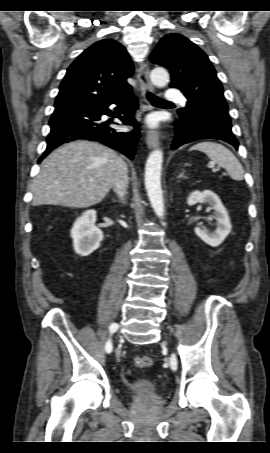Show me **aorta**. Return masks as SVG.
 <instances>
[{
  "instance_id": "aorta-1",
  "label": "aorta",
  "mask_w": 270,
  "mask_h": 453,
  "mask_svg": "<svg viewBox=\"0 0 270 453\" xmlns=\"http://www.w3.org/2000/svg\"><path fill=\"white\" fill-rule=\"evenodd\" d=\"M150 79L157 87H164L169 82L168 72L161 67L151 71ZM163 163V152L161 149L152 151L145 166V188L150 204L159 218L164 216L163 191L161 188V169Z\"/></svg>"
}]
</instances>
